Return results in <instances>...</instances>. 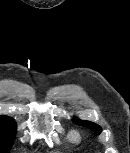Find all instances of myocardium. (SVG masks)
<instances>
[{"label":"myocardium","instance_id":"obj_1","mask_svg":"<svg viewBox=\"0 0 130 153\" xmlns=\"http://www.w3.org/2000/svg\"><path fill=\"white\" fill-rule=\"evenodd\" d=\"M71 138L73 141H78L80 139V133L78 131H73L71 133Z\"/></svg>","mask_w":130,"mask_h":153}]
</instances>
